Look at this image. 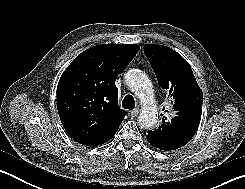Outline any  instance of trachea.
<instances>
[{"label":"trachea","mask_w":245,"mask_h":189,"mask_svg":"<svg viewBox=\"0 0 245 189\" xmlns=\"http://www.w3.org/2000/svg\"><path fill=\"white\" fill-rule=\"evenodd\" d=\"M124 109L133 110L135 108V100L132 95H126L122 101Z\"/></svg>","instance_id":"1"}]
</instances>
